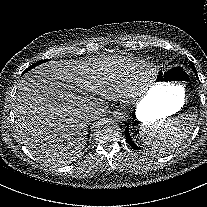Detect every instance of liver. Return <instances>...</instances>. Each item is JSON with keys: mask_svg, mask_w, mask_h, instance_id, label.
I'll return each mask as SVG.
<instances>
[{"mask_svg": "<svg viewBox=\"0 0 207 207\" xmlns=\"http://www.w3.org/2000/svg\"><path fill=\"white\" fill-rule=\"evenodd\" d=\"M85 63H45L27 73L13 99L15 131L24 146L39 157L54 152L80 153L95 105L87 91L96 80ZM53 155V153H52Z\"/></svg>", "mask_w": 207, "mask_h": 207, "instance_id": "liver-1", "label": "liver"}]
</instances>
